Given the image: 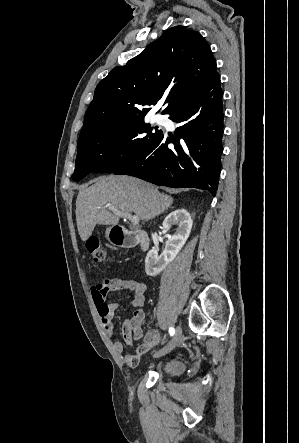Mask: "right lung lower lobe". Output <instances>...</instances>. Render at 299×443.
I'll use <instances>...</instances> for the list:
<instances>
[{
	"mask_svg": "<svg viewBox=\"0 0 299 443\" xmlns=\"http://www.w3.org/2000/svg\"><path fill=\"white\" fill-rule=\"evenodd\" d=\"M220 77L176 104L167 114L180 126L161 133L137 160L114 174L135 176L159 186L194 187L216 194L222 151L223 107ZM171 143L174 147H168Z\"/></svg>",
	"mask_w": 299,
	"mask_h": 443,
	"instance_id": "98d812e1",
	"label": "right lung lower lobe"
}]
</instances>
